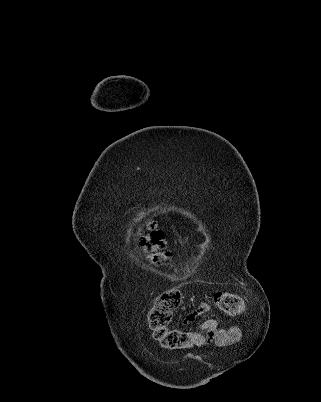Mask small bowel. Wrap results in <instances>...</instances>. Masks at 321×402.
I'll use <instances>...</instances> for the list:
<instances>
[{"instance_id":"obj_1","label":"small bowel","mask_w":321,"mask_h":402,"mask_svg":"<svg viewBox=\"0 0 321 402\" xmlns=\"http://www.w3.org/2000/svg\"><path fill=\"white\" fill-rule=\"evenodd\" d=\"M211 311V307L208 303H200L197 307L190 312L186 319V323L193 321L197 316L207 314ZM233 328H229L221 325L216 320L210 319L199 327L208 333L210 341L214 342L218 347L228 346L233 344L238 338V328H240L241 323L238 320L233 321Z\"/></svg>"}]
</instances>
